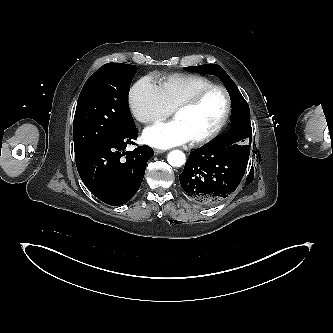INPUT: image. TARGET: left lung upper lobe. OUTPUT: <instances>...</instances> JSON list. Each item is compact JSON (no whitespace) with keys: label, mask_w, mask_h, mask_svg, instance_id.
<instances>
[{"label":"left lung upper lobe","mask_w":333,"mask_h":333,"mask_svg":"<svg viewBox=\"0 0 333 333\" xmlns=\"http://www.w3.org/2000/svg\"><path fill=\"white\" fill-rule=\"evenodd\" d=\"M184 69L188 72H200L206 74H212L218 76L222 82L224 83L226 89L228 90L231 101H232V108L236 106H242L249 112V107L247 102L244 100L243 96L239 92L237 86L233 82V80L228 76V74L224 71V69L216 64H206L200 66H193V67H184ZM250 120V116H249ZM231 122L232 128L228 134H224L218 137L216 140L212 142L214 145H222L223 147H227L234 151L236 155L248 160L250 155V147H251V139L249 144L245 145V139L250 137L249 133L242 132L239 128L235 129V123L233 117L231 115Z\"/></svg>","instance_id":"left-lung-upper-lobe-1"}]
</instances>
